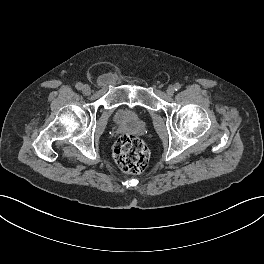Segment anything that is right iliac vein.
Instances as JSON below:
<instances>
[{"mask_svg":"<svg viewBox=\"0 0 264 264\" xmlns=\"http://www.w3.org/2000/svg\"><path fill=\"white\" fill-rule=\"evenodd\" d=\"M82 92L85 94V95H89L91 93V88L89 85H84L83 88H82Z\"/></svg>","mask_w":264,"mask_h":264,"instance_id":"right-iliac-vein-1","label":"right iliac vein"}]
</instances>
